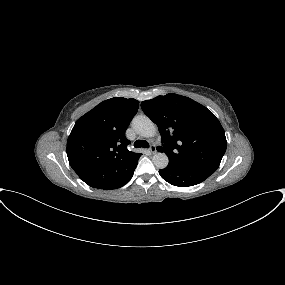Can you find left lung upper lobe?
Segmentation results:
<instances>
[{"mask_svg": "<svg viewBox=\"0 0 285 285\" xmlns=\"http://www.w3.org/2000/svg\"><path fill=\"white\" fill-rule=\"evenodd\" d=\"M144 113L157 124L169 165L214 173L226 151L223 127L215 115L196 101L177 94L141 102Z\"/></svg>", "mask_w": 285, "mask_h": 285, "instance_id": "5c2ea615", "label": "left lung upper lobe"}]
</instances>
